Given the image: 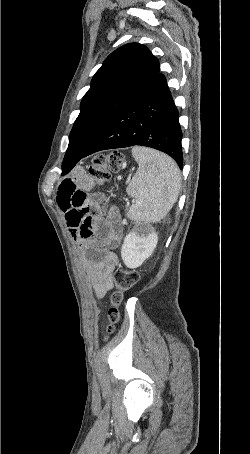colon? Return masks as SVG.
Masks as SVG:
<instances>
[{
  "label": "colon",
  "instance_id": "colon-1",
  "mask_svg": "<svg viewBox=\"0 0 250 454\" xmlns=\"http://www.w3.org/2000/svg\"><path fill=\"white\" fill-rule=\"evenodd\" d=\"M123 161V155L119 151L97 155L88 167L89 176L98 184H104L110 180L113 172L119 170ZM139 273L132 268H120L113 276L116 290L111 294L112 307L108 311L109 323L106 327L109 333L115 330L116 323L120 320L118 306L121 304L124 294L132 289L139 281Z\"/></svg>",
  "mask_w": 250,
  "mask_h": 454
}]
</instances>
